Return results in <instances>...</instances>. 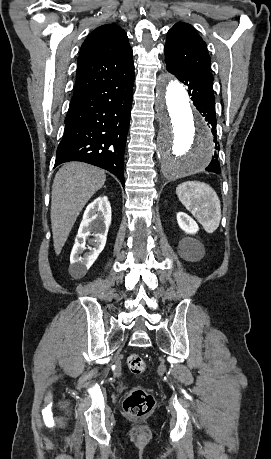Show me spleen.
<instances>
[{"mask_svg":"<svg viewBox=\"0 0 271 459\" xmlns=\"http://www.w3.org/2000/svg\"><path fill=\"white\" fill-rule=\"evenodd\" d=\"M176 194L207 233H213L218 228L221 220L220 200L210 186L202 182H184L176 188Z\"/></svg>","mask_w":271,"mask_h":459,"instance_id":"3e777b00","label":"spleen"}]
</instances>
